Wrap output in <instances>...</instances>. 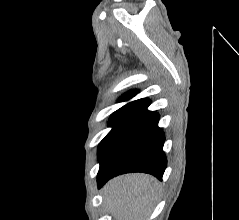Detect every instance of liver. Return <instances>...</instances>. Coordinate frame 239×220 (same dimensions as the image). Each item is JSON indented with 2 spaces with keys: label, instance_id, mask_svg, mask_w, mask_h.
Returning a JSON list of instances; mask_svg holds the SVG:
<instances>
[{
  "label": "liver",
  "instance_id": "liver-1",
  "mask_svg": "<svg viewBox=\"0 0 239 220\" xmlns=\"http://www.w3.org/2000/svg\"><path fill=\"white\" fill-rule=\"evenodd\" d=\"M158 189L157 180L150 175H122L105 185V203L115 220H146Z\"/></svg>",
  "mask_w": 239,
  "mask_h": 220
}]
</instances>
